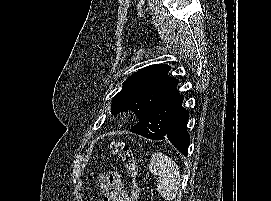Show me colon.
I'll list each match as a JSON object with an SVG mask.
<instances>
[{
	"mask_svg": "<svg viewBox=\"0 0 271 201\" xmlns=\"http://www.w3.org/2000/svg\"><path fill=\"white\" fill-rule=\"evenodd\" d=\"M111 153L118 156L122 161L124 167L135 180L138 174V168L136 158L131 146L126 142H113L110 146ZM137 189L134 187L131 201H137L136 199Z\"/></svg>",
	"mask_w": 271,
	"mask_h": 201,
	"instance_id": "colon-1",
	"label": "colon"
}]
</instances>
